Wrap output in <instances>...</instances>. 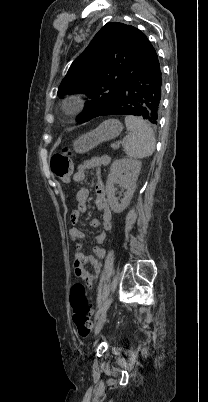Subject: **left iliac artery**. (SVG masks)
Returning a JSON list of instances; mask_svg holds the SVG:
<instances>
[{
  "mask_svg": "<svg viewBox=\"0 0 208 402\" xmlns=\"http://www.w3.org/2000/svg\"><path fill=\"white\" fill-rule=\"evenodd\" d=\"M99 315H100V312H99V311H97V312H96V314H95V318H94V319H95V321H96V320L99 318Z\"/></svg>",
  "mask_w": 208,
  "mask_h": 402,
  "instance_id": "1",
  "label": "left iliac artery"
}]
</instances>
